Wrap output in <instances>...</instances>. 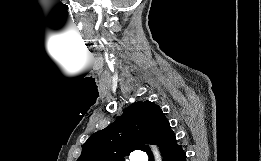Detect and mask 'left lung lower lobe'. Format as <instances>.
I'll return each mask as SVG.
<instances>
[{
	"instance_id": "obj_1",
	"label": "left lung lower lobe",
	"mask_w": 261,
	"mask_h": 161,
	"mask_svg": "<svg viewBox=\"0 0 261 161\" xmlns=\"http://www.w3.org/2000/svg\"><path fill=\"white\" fill-rule=\"evenodd\" d=\"M163 161H186V153L181 145L176 142L174 133H171L167 139L159 145ZM149 161H154L152 153L148 154Z\"/></svg>"
}]
</instances>
